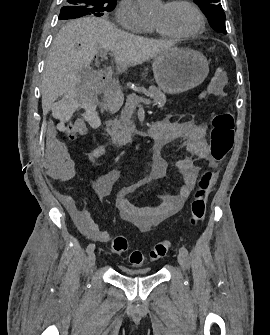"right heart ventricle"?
I'll return each mask as SVG.
<instances>
[{
	"label": "right heart ventricle",
	"mask_w": 270,
	"mask_h": 335,
	"mask_svg": "<svg viewBox=\"0 0 270 335\" xmlns=\"http://www.w3.org/2000/svg\"><path fill=\"white\" fill-rule=\"evenodd\" d=\"M161 78H170V77H161Z\"/></svg>",
	"instance_id": "right-heart-ventricle-1"
}]
</instances>
